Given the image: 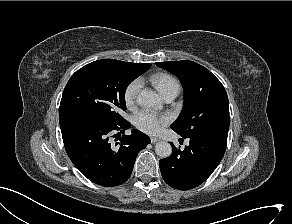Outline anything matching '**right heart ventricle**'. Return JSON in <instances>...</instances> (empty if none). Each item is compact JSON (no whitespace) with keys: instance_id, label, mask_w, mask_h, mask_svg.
<instances>
[{"instance_id":"1","label":"right heart ventricle","mask_w":292,"mask_h":224,"mask_svg":"<svg viewBox=\"0 0 292 224\" xmlns=\"http://www.w3.org/2000/svg\"><path fill=\"white\" fill-rule=\"evenodd\" d=\"M151 82L162 96L170 91L178 93L180 90V84L177 79L169 74L155 75L151 78Z\"/></svg>"}]
</instances>
